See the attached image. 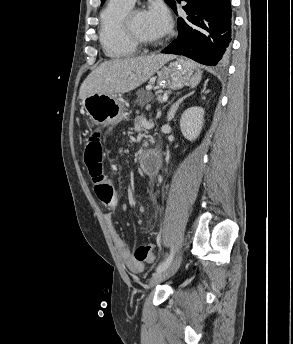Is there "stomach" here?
Returning a JSON list of instances; mask_svg holds the SVG:
<instances>
[{
    "label": "stomach",
    "instance_id": "stomach-1",
    "mask_svg": "<svg viewBox=\"0 0 293 344\" xmlns=\"http://www.w3.org/2000/svg\"><path fill=\"white\" fill-rule=\"evenodd\" d=\"M157 84L160 87L179 89L192 76V67L187 61L177 60L157 70ZM90 119L98 125L116 124L124 119L125 108L119 95L92 94L82 101Z\"/></svg>",
    "mask_w": 293,
    "mask_h": 344
}]
</instances>
